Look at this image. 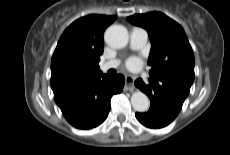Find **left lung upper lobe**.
Segmentation results:
<instances>
[{
    "mask_svg": "<svg viewBox=\"0 0 230 155\" xmlns=\"http://www.w3.org/2000/svg\"><path fill=\"white\" fill-rule=\"evenodd\" d=\"M148 31L152 44L148 59L151 78L176 84L188 92L194 81V53L183 28L160 12L127 18Z\"/></svg>",
    "mask_w": 230,
    "mask_h": 155,
    "instance_id": "obj_1",
    "label": "left lung upper lobe"
}]
</instances>
